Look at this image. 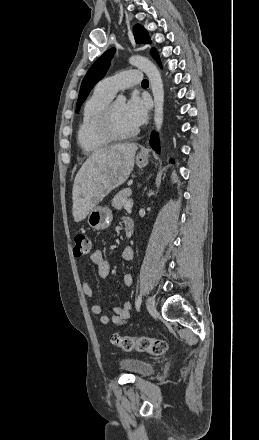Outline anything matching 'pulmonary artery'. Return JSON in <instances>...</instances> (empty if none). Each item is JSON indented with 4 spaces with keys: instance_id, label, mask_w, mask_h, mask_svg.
I'll return each mask as SVG.
<instances>
[{
    "instance_id": "e3ab8cb5",
    "label": "pulmonary artery",
    "mask_w": 259,
    "mask_h": 440,
    "mask_svg": "<svg viewBox=\"0 0 259 440\" xmlns=\"http://www.w3.org/2000/svg\"><path fill=\"white\" fill-rule=\"evenodd\" d=\"M142 80L143 75L140 70L129 69L103 79L96 88L113 97L119 90L137 85Z\"/></svg>"
}]
</instances>
